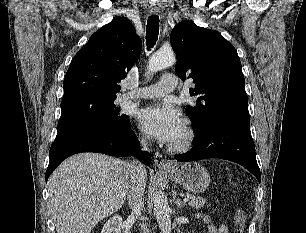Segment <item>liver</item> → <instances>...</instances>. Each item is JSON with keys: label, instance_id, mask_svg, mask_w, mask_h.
I'll list each match as a JSON object with an SVG mask.
<instances>
[{"label": "liver", "instance_id": "obj_1", "mask_svg": "<svg viewBox=\"0 0 306 233\" xmlns=\"http://www.w3.org/2000/svg\"><path fill=\"white\" fill-rule=\"evenodd\" d=\"M129 163L98 153L70 157L48 180L57 233H91L125 202Z\"/></svg>", "mask_w": 306, "mask_h": 233}]
</instances>
